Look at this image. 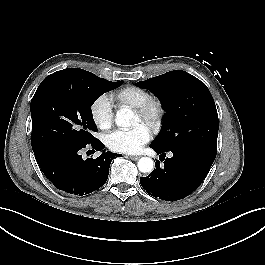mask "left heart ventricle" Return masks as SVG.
<instances>
[{"mask_svg":"<svg viewBox=\"0 0 265 265\" xmlns=\"http://www.w3.org/2000/svg\"><path fill=\"white\" fill-rule=\"evenodd\" d=\"M140 122H141L140 117L136 114V124H138Z\"/></svg>","mask_w":265,"mask_h":265,"instance_id":"b2bd125f","label":"left heart ventricle"}]
</instances>
